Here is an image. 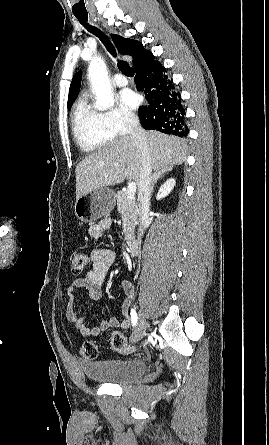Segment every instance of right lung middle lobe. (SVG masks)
Here are the masks:
<instances>
[{
  "label": "right lung middle lobe",
  "mask_w": 269,
  "mask_h": 445,
  "mask_svg": "<svg viewBox=\"0 0 269 445\" xmlns=\"http://www.w3.org/2000/svg\"><path fill=\"white\" fill-rule=\"evenodd\" d=\"M72 106V103H68V109H70Z\"/></svg>",
  "instance_id": "dd1d6c3e"
}]
</instances>
